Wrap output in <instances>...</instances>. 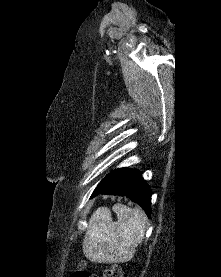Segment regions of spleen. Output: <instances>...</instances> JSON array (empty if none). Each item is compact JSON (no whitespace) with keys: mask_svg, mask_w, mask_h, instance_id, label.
Returning a JSON list of instances; mask_svg holds the SVG:
<instances>
[{"mask_svg":"<svg viewBox=\"0 0 221 277\" xmlns=\"http://www.w3.org/2000/svg\"><path fill=\"white\" fill-rule=\"evenodd\" d=\"M113 211L117 214V222H113L107 209L97 210L89 220L82 247L91 261L128 262L144 239L146 217L140 209L117 204Z\"/></svg>","mask_w":221,"mask_h":277,"instance_id":"3e777b00","label":"spleen"}]
</instances>
